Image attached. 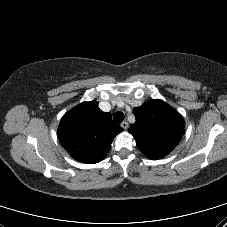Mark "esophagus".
<instances>
[{
    "label": "esophagus",
    "instance_id": "34e87169",
    "mask_svg": "<svg viewBox=\"0 0 227 227\" xmlns=\"http://www.w3.org/2000/svg\"><path fill=\"white\" fill-rule=\"evenodd\" d=\"M121 127L124 129V130H127L128 129V123L126 121L122 122L121 123Z\"/></svg>",
    "mask_w": 227,
    "mask_h": 227
}]
</instances>
